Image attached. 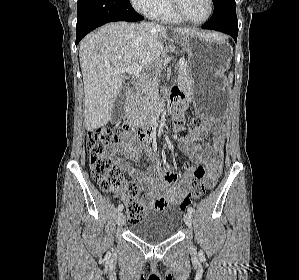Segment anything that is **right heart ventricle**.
<instances>
[{"label": "right heart ventricle", "instance_id": "obj_1", "mask_svg": "<svg viewBox=\"0 0 299 280\" xmlns=\"http://www.w3.org/2000/svg\"><path fill=\"white\" fill-rule=\"evenodd\" d=\"M152 18L166 23H181L182 20L172 11L169 0H158L156 6L149 14Z\"/></svg>", "mask_w": 299, "mask_h": 280}]
</instances>
